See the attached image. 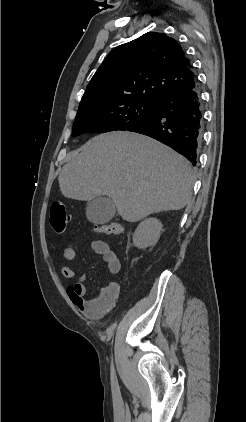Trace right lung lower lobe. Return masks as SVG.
<instances>
[{
    "instance_id": "obj_1",
    "label": "right lung lower lobe",
    "mask_w": 246,
    "mask_h": 422,
    "mask_svg": "<svg viewBox=\"0 0 246 422\" xmlns=\"http://www.w3.org/2000/svg\"><path fill=\"white\" fill-rule=\"evenodd\" d=\"M154 103L153 116L127 130L147 135L168 145L195 166L203 130L198 85L164 95Z\"/></svg>"
}]
</instances>
